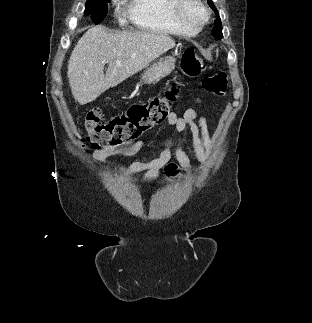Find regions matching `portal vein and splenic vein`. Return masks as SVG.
I'll list each match as a JSON object with an SVG mask.
<instances>
[{
  "label": "portal vein and splenic vein",
  "mask_w": 312,
  "mask_h": 323,
  "mask_svg": "<svg viewBox=\"0 0 312 323\" xmlns=\"http://www.w3.org/2000/svg\"><path fill=\"white\" fill-rule=\"evenodd\" d=\"M116 64H120V62H118V60H117Z\"/></svg>",
  "instance_id": "obj_1"
}]
</instances>
